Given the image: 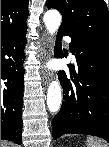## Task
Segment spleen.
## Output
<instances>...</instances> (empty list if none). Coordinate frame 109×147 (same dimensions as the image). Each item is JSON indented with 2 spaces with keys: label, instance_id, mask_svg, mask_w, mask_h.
I'll use <instances>...</instances> for the list:
<instances>
[{
  "label": "spleen",
  "instance_id": "obj_1",
  "mask_svg": "<svg viewBox=\"0 0 109 147\" xmlns=\"http://www.w3.org/2000/svg\"><path fill=\"white\" fill-rule=\"evenodd\" d=\"M108 146L109 144L101 138L89 136L86 139V147H108Z\"/></svg>",
  "mask_w": 109,
  "mask_h": 147
}]
</instances>
